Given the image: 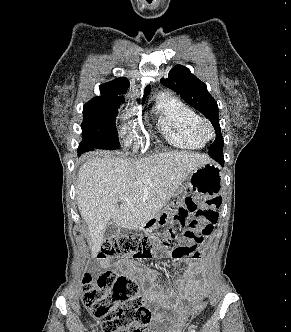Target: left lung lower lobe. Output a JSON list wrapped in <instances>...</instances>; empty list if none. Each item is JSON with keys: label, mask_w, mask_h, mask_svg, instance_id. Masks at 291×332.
I'll use <instances>...</instances> for the list:
<instances>
[{"label": "left lung lower lobe", "mask_w": 291, "mask_h": 332, "mask_svg": "<svg viewBox=\"0 0 291 332\" xmlns=\"http://www.w3.org/2000/svg\"><path fill=\"white\" fill-rule=\"evenodd\" d=\"M211 157H213L218 163H220L223 166L224 164L223 152L218 154H213Z\"/></svg>", "instance_id": "0a47b994"}]
</instances>
